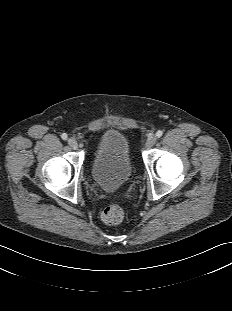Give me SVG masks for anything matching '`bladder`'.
<instances>
[{"instance_id":"1","label":"bladder","mask_w":232,"mask_h":311,"mask_svg":"<svg viewBox=\"0 0 232 311\" xmlns=\"http://www.w3.org/2000/svg\"><path fill=\"white\" fill-rule=\"evenodd\" d=\"M132 170L127 138L114 129L102 133L91 161L92 180L104 190H114L129 181Z\"/></svg>"}]
</instances>
